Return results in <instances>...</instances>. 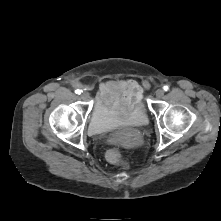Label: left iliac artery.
I'll return each instance as SVG.
<instances>
[{
	"mask_svg": "<svg viewBox=\"0 0 221 221\" xmlns=\"http://www.w3.org/2000/svg\"><path fill=\"white\" fill-rule=\"evenodd\" d=\"M169 87L168 86H164V90L168 91Z\"/></svg>",
	"mask_w": 221,
	"mask_h": 221,
	"instance_id": "obj_1",
	"label": "left iliac artery"
}]
</instances>
